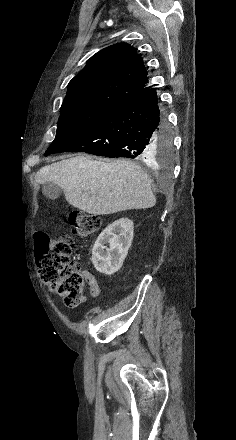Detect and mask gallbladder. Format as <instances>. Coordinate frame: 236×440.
I'll list each match as a JSON object with an SVG mask.
<instances>
[{
  "label": "gallbladder",
  "instance_id": "obj_1",
  "mask_svg": "<svg viewBox=\"0 0 236 440\" xmlns=\"http://www.w3.org/2000/svg\"><path fill=\"white\" fill-rule=\"evenodd\" d=\"M42 192L44 196L49 200H56L62 194V189L52 182L43 184Z\"/></svg>",
  "mask_w": 236,
  "mask_h": 440
}]
</instances>
